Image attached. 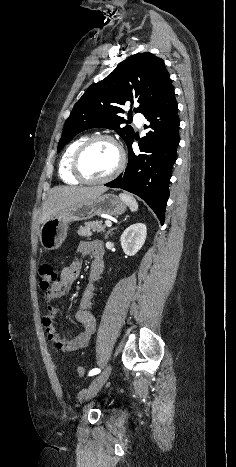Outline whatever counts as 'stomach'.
Segmentation results:
<instances>
[{
    "label": "stomach",
    "instance_id": "obj_1",
    "mask_svg": "<svg viewBox=\"0 0 236 467\" xmlns=\"http://www.w3.org/2000/svg\"><path fill=\"white\" fill-rule=\"evenodd\" d=\"M126 210V203L114 194H104L97 198L61 209L52 215L40 230V243L47 250H55L67 237L68 224L88 220L96 215H121Z\"/></svg>",
    "mask_w": 236,
    "mask_h": 467
}]
</instances>
